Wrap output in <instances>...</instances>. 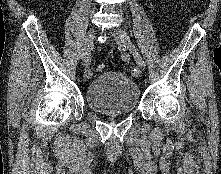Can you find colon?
I'll return each mask as SVG.
<instances>
[{
	"label": "colon",
	"instance_id": "5ec220e1",
	"mask_svg": "<svg viewBox=\"0 0 221 174\" xmlns=\"http://www.w3.org/2000/svg\"><path fill=\"white\" fill-rule=\"evenodd\" d=\"M104 69H105V65H104V64H99V65H97V67H96V71H97V72H103Z\"/></svg>",
	"mask_w": 221,
	"mask_h": 174
}]
</instances>
